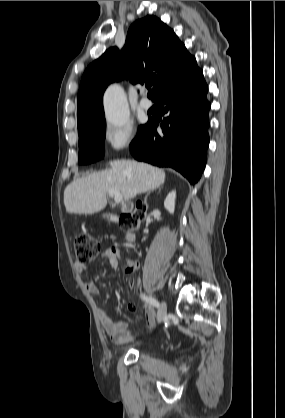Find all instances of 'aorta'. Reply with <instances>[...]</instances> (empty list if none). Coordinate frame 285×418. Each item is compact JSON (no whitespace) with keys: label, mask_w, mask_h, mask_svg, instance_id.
Instances as JSON below:
<instances>
[{"label":"aorta","mask_w":285,"mask_h":418,"mask_svg":"<svg viewBox=\"0 0 285 418\" xmlns=\"http://www.w3.org/2000/svg\"><path fill=\"white\" fill-rule=\"evenodd\" d=\"M104 109L107 122L112 127H123L129 120V109L124 90L119 85H111L104 94Z\"/></svg>","instance_id":"aorta-1"}]
</instances>
